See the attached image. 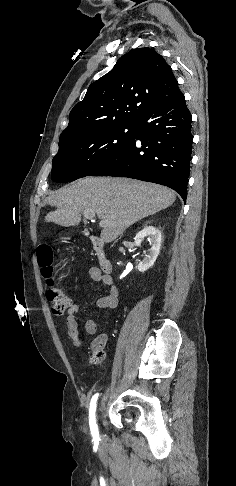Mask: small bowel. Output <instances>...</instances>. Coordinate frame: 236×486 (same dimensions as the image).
I'll use <instances>...</instances> for the list:
<instances>
[{
    "mask_svg": "<svg viewBox=\"0 0 236 486\" xmlns=\"http://www.w3.org/2000/svg\"><path fill=\"white\" fill-rule=\"evenodd\" d=\"M91 279L95 282H100L108 288V295L100 297L96 301V306L101 309H115L118 305V288L114 284L113 278L110 275L103 274L97 267H92L89 270ZM79 311L78 305L71 306L67 311L66 325L69 337L72 339L76 347L82 345L78 337V323L77 313ZM85 330L88 334H94L97 330V324L94 319H88L85 323ZM107 341V336L102 334L92 342L93 349H101Z\"/></svg>",
    "mask_w": 236,
    "mask_h": 486,
    "instance_id": "obj_1",
    "label": "small bowel"
}]
</instances>
